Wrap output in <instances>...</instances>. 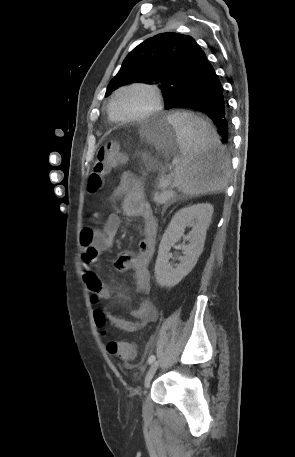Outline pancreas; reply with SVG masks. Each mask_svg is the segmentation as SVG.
Returning a JSON list of instances; mask_svg holds the SVG:
<instances>
[{
    "label": "pancreas",
    "mask_w": 295,
    "mask_h": 457,
    "mask_svg": "<svg viewBox=\"0 0 295 457\" xmlns=\"http://www.w3.org/2000/svg\"><path fill=\"white\" fill-rule=\"evenodd\" d=\"M170 185L169 180L166 186H162L159 181L158 190L160 191L154 193L153 200L158 203L172 202L174 200V192L170 188Z\"/></svg>",
    "instance_id": "cf45deb5"
}]
</instances>
